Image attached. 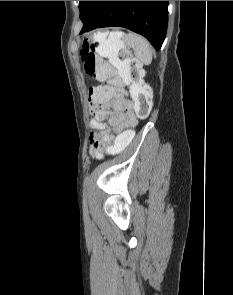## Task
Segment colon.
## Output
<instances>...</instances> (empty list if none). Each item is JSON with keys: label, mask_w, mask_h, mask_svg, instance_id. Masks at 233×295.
<instances>
[{"label": "colon", "mask_w": 233, "mask_h": 295, "mask_svg": "<svg viewBox=\"0 0 233 295\" xmlns=\"http://www.w3.org/2000/svg\"><path fill=\"white\" fill-rule=\"evenodd\" d=\"M81 56L86 74L102 83L91 87L89 96H117L123 85L129 84L136 116L140 119L148 117L152 108L151 88L143 79L139 60L127 49L123 33L98 32L86 36ZM133 138L131 130L122 132L114 138L107 151L119 153L130 145Z\"/></svg>", "instance_id": "1"}]
</instances>
